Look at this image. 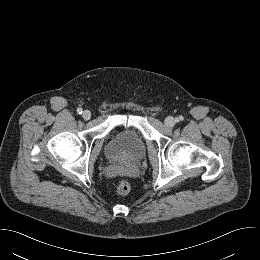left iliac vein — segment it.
<instances>
[{"mask_svg":"<svg viewBox=\"0 0 260 260\" xmlns=\"http://www.w3.org/2000/svg\"><path fill=\"white\" fill-rule=\"evenodd\" d=\"M165 124L166 126L168 127H173L175 125V119L172 117V116H168L166 119H165Z\"/></svg>","mask_w":260,"mask_h":260,"instance_id":"left-iliac-vein-1","label":"left iliac vein"}]
</instances>
